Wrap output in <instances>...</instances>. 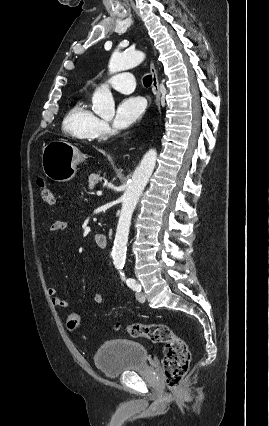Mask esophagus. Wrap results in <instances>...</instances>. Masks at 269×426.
I'll use <instances>...</instances> for the list:
<instances>
[{
  "instance_id": "1",
  "label": "esophagus",
  "mask_w": 269,
  "mask_h": 426,
  "mask_svg": "<svg viewBox=\"0 0 269 426\" xmlns=\"http://www.w3.org/2000/svg\"><path fill=\"white\" fill-rule=\"evenodd\" d=\"M150 72L152 75V91L155 97L154 102L156 107L159 109L160 108V89H159L157 70L155 68L153 61L150 64Z\"/></svg>"
}]
</instances>
